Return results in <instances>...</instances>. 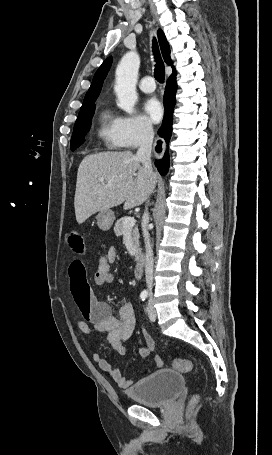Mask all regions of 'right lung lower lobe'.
I'll return each mask as SVG.
<instances>
[{
    "label": "right lung lower lobe",
    "instance_id": "1",
    "mask_svg": "<svg viewBox=\"0 0 272 455\" xmlns=\"http://www.w3.org/2000/svg\"><path fill=\"white\" fill-rule=\"evenodd\" d=\"M176 73L172 74L167 81L164 95V106H165V115L163 119L162 126L159 130V135L165 139L166 142L169 141L172 134V121H173V111L176 103L175 93H176ZM156 167L158 168L159 173L164 176L167 174L169 169V154L168 151L165 152V155L162 159L155 162Z\"/></svg>",
    "mask_w": 272,
    "mask_h": 455
}]
</instances>
